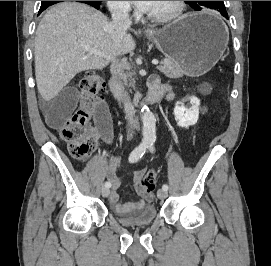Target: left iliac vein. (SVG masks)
<instances>
[{"mask_svg": "<svg viewBox=\"0 0 271 266\" xmlns=\"http://www.w3.org/2000/svg\"><path fill=\"white\" fill-rule=\"evenodd\" d=\"M167 195H168V193H167L166 190L159 189V190L157 191V196H158V198L161 199V200L165 199V198L167 197Z\"/></svg>", "mask_w": 271, "mask_h": 266, "instance_id": "obj_1", "label": "left iliac vein"}]
</instances>
